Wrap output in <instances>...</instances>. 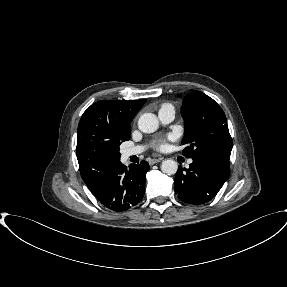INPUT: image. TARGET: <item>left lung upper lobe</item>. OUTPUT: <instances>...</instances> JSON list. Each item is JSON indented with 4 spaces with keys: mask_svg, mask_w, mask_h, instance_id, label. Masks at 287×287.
<instances>
[{
    "mask_svg": "<svg viewBox=\"0 0 287 287\" xmlns=\"http://www.w3.org/2000/svg\"><path fill=\"white\" fill-rule=\"evenodd\" d=\"M185 134L183 154L188 158L203 155H221L230 158L233 141L225 114L209 96L191 90L182 103Z\"/></svg>",
    "mask_w": 287,
    "mask_h": 287,
    "instance_id": "left-lung-upper-lobe-1",
    "label": "left lung upper lobe"
}]
</instances>
